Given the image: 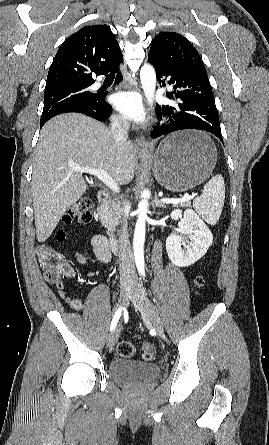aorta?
<instances>
[{"instance_id": "obj_1", "label": "aorta", "mask_w": 269, "mask_h": 445, "mask_svg": "<svg viewBox=\"0 0 269 445\" xmlns=\"http://www.w3.org/2000/svg\"><path fill=\"white\" fill-rule=\"evenodd\" d=\"M140 80L145 97L149 104L153 103L155 89H156V72L152 65L144 64L140 70ZM143 200L138 205V219L135 226L134 239H133V251L136 267L140 274L145 273L144 264V241H145V220L148 212V198L150 193L148 190H144Z\"/></svg>"}]
</instances>
